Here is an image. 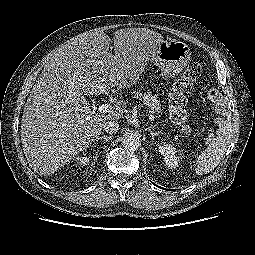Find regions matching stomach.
Here are the masks:
<instances>
[{
	"instance_id": "stomach-1",
	"label": "stomach",
	"mask_w": 255,
	"mask_h": 255,
	"mask_svg": "<svg viewBox=\"0 0 255 255\" xmlns=\"http://www.w3.org/2000/svg\"><path fill=\"white\" fill-rule=\"evenodd\" d=\"M190 56V48L186 43L169 39L158 45L157 53L151 59L164 76L175 77L187 66Z\"/></svg>"
}]
</instances>
